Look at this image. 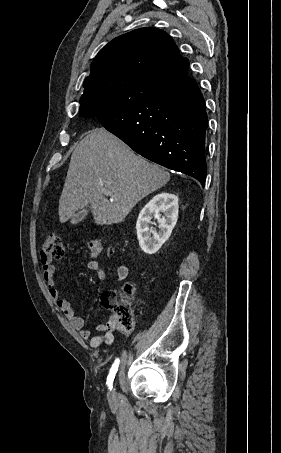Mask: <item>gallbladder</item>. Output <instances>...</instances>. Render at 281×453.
Wrapping results in <instances>:
<instances>
[{
	"instance_id": "obj_1",
	"label": "gallbladder",
	"mask_w": 281,
	"mask_h": 453,
	"mask_svg": "<svg viewBox=\"0 0 281 453\" xmlns=\"http://www.w3.org/2000/svg\"><path fill=\"white\" fill-rule=\"evenodd\" d=\"M87 212H88V210H86V208H83V210H80V212H77V214H74L71 224L73 226H76L78 224L79 220H82V218H84V216H86Z\"/></svg>"
}]
</instances>
